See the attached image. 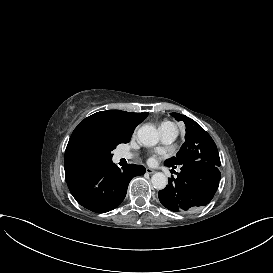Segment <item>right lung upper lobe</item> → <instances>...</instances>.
<instances>
[{
    "label": "right lung upper lobe",
    "mask_w": 273,
    "mask_h": 273,
    "mask_svg": "<svg viewBox=\"0 0 273 273\" xmlns=\"http://www.w3.org/2000/svg\"><path fill=\"white\" fill-rule=\"evenodd\" d=\"M147 115L148 113L108 110L97 112L81 121L74 129L65 151L67 184L89 170L107 163L94 149L129 142L135 127Z\"/></svg>",
    "instance_id": "1"
}]
</instances>
